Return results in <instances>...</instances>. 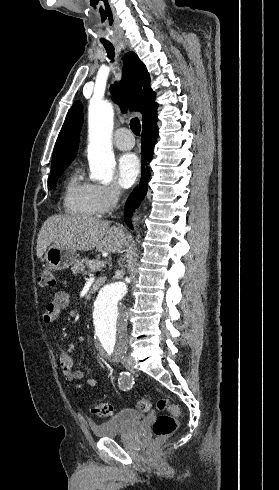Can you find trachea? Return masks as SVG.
I'll use <instances>...</instances> for the list:
<instances>
[{
    "instance_id": "trachea-1",
    "label": "trachea",
    "mask_w": 279,
    "mask_h": 490,
    "mask_svg": "<svg viewBox=\"0 0 279 490\" xmlns=\"http://www.w3.org/2000/svg\"><path fill=\"white\" fill-rule=\"evenodd\" d=\"M105 49L107 51V56L112 60L114 58V47L106 46ZM130 128L135 135L140 134L141 126H140V121L138 120V118L131 119Z\"/></svg>"
}]
</instances>
